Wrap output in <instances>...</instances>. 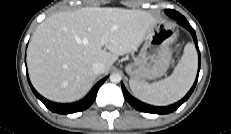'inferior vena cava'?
Returning <instances> with one entry per match:
<instances>
[{"label": "inferior vena cava", "instance_id": "obj_1", "mask_svg": "<svg viewBox=\"0 0 231 134\" xmlns=\"http://www.w3.org/2000/svg\"><path fill=\"white\" fill-rule=\"evenodd\" d=\"M92 70H93L94 74L100 75V74L104 73L105 65L102 62H95L92 65Z\"/></svg>", "mask_w": 231, "mask_h": 134}]
</instances>
